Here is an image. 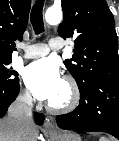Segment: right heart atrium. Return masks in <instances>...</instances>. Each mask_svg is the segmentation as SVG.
<instances>
[{"label": "right heart atrium", "instance_id": "right-heart-atrium-1", "mask_svg": "<svg viewBox=\"0 0 119 141\" xmlns=\"http://www.w3.org/2000/svg\"><path fill=\"white\" fill-rule=\"evenodd\" d=\"M19 99L23 104L26 105H30L32 103L31 93L26 88L20 91Z\"/></svg>", "mask_w": 119, "mask_h": 141}]
</instances>
